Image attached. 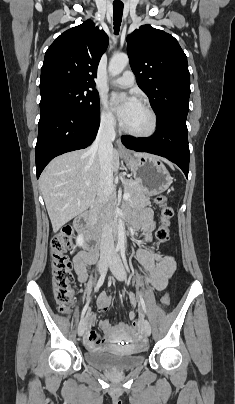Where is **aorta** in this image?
Wrapping results in <instances>:
<instances>
[{"label": "aorta", "instance_id": "obj_1", "mask_svg": "<svg viewBox=\"0 0 235 404\" xmlns=\"http://www.w3.org/2000/svg\"><path fill=\"white\" fill-rule=\"evenodd\" d=\"M129 62L128 55L125 53L114 54L109 63V72L112 76L119 75ZM125 241L124 223L122 219L118 222V245H123Z\"/></svg>", "mask_w": 235, "mask_h": 404}]
</instances>
